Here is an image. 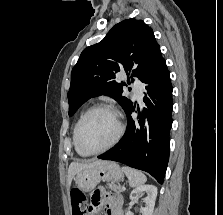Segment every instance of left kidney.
<instances>
[{"label":"left kidney","instance_id":"1","mask_svg":"<svg viewBox=\"0 0 223 215\" xmlns=\"http://www.w3.org/2000/svg\"><path fill=\"white\" fill-rule=\"evenodd\" d=\"M143 191H146L147 195L144 197L146 205L145 207H141V213L142 215H152L157 195V187L155 185H139V187H135L130 193V199L132 201L138 199L140 193H143ZM126 215H131L130 211Z\"/></svg>","mask_w":223,"mask_h":215}]
</instances>
